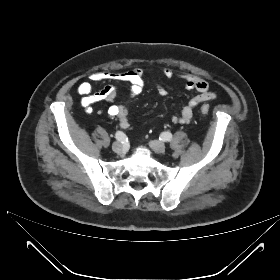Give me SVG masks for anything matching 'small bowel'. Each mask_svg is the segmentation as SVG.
I'll use <instances>...</instances> for the list:
<instances>
[{"label":"small bowel","instance_id":"c3829d8e","mask_svg":"<svg viewBox=\"0 0 280 280\" xmlns=\"http://www.w3.org/2000/svg\"><path fill=\"white\" fill-rule=\"evenodd\" d=\"M162 74L165 78L171 79L175 75V71L170 67H164ZM184 80V87L187 90H195L197 95L191 98L181 109L177 116L172 117V121L178 124H188L192 120L194 109L213 99L216 94L209 89L208 83L201 77L188 73L180 74ZM114 81L125 82L130 85L129 95L131 98L137 97L145 85L144 70L136 67L124 72H93L89 75V81H83L77 86V92L81 95L80 103L89 112L92 110V105L100 102H112L117 94L115 85H106L101 90L93 92L92 82ZM157 90L160 95L168 94L167 89L155 80ZM108 113L118 119L119 125L123 130H129L130 124L128 119V111L126 106L111 105Z\"/></svg>","mask_w":280,"mask_h":280}]
</instances>
